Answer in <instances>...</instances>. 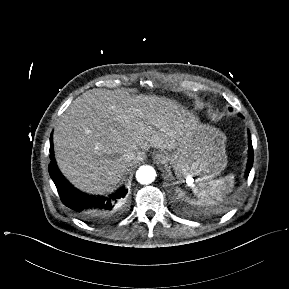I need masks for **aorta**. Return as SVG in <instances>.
<instances>
[{
  "mask_svg": "<svg viewBox=\"0 0 289 289\" xmlns=\"http://www.w3.org/2000/svg\"><path fill=\"white\" fill-rule=\"evenodd\" d=\"M156 172L149 165L141 166L136 172V179L140 184H150L154 181Z\"/></svg>",
  "mask_w": 289,
  "mask_h": 289,
  "instance_id": "obj_1",
  "label": "aorta"
}]
</instances>
